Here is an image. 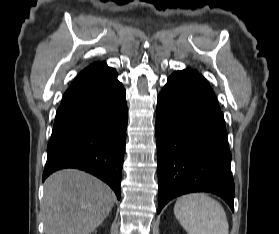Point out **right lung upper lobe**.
<instances>
[{
  "mask_svg": "<svg viewBox=\"0 0 279 234\" xmlns=\"http://www.w3.org/2000/svg\"><path fill=\"white\" fill-rule=\"evenodd\" d=\"M100 64L101 63H93V64L89 65L87 68H85L83 71H81V73H83V72H85L87 70H90V69H92V68H94V67H96V66H98Z\"/></svg>",
  "mask_w": 279,
  "mask_h": 234,
  "instance_id": "1",
  "label": "right lung upper lobe"
}]
</instances>
